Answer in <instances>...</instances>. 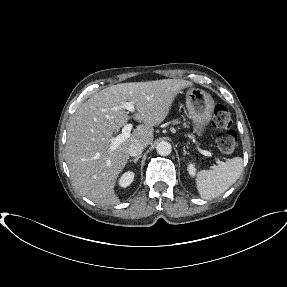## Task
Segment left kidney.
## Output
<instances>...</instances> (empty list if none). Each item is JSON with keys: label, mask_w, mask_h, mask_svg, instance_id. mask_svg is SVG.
<instances>
[{"label": "left kidney", "mask_w": 287, "mask_h": 287, "mask_svg": "<svg viewBox=\"0 0 287 287\" xmlns=\"http://www.w3.org/2000/svg\"><path fill=\"white\" fill-rule=\"evenodd\" d=\"M188 173L190 174V176H195V173H196V168H195V165L193 163H189L188 164Z\"/></svg>", "instance_id": "left-kidney-1"}]
</instances>
